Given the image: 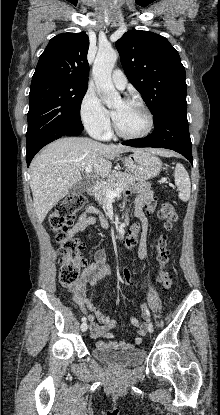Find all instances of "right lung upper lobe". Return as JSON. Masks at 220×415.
<instances>
[{
  "mask_svg": "<svg viewBox=\"0 0 220 415\" xmlns=\"http://www.w3.org/2000/svg\"><path fill=\"white\" fill-rule=\"evenodd\" d=\"M88 49L89 38L85 32L53 37L39 58L32 82L49 79L88 85Z\"/></svg>",
  "mask_w": 220,
  "mask_h": 415,
  "instance_id": "1",
  "label": "right lung upper lobe"
}]
</instances>
